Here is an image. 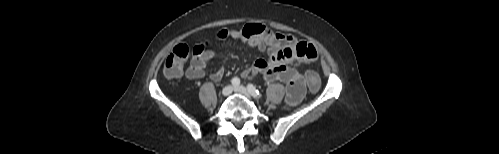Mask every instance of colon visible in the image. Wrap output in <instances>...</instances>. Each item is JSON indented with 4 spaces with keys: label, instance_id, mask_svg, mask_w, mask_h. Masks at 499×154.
<instances>
[{
    "label": "colon",
    "instance_id": "5ec220e1",
    "mask_svg": "<svg viewBox=\"0 0 499 154\" xmlns=\"http://www.w3.org/2000/svg\"><path fill=\"white\" fill-rule=\"evenodd\" d=\"M189 53L190 49L185 44H179L173 49L164 64V74L167 78L172 79L181 76ZM304 81L310 91L317 92L319 90L321 81L316 71L307 70L304 74Z\"/></svg>",
    "mask_w": 499,
    "mask_h": 154
}]
</instances>
